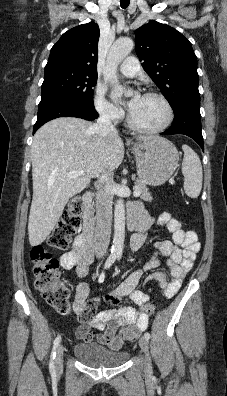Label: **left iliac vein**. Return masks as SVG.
Returning <instances> with one entry per match:
<instances>
[{"label": "left iliac vein", "instance_id": "left-iliac-vein-1", "mask_svg": "<svg viewBox=\"0 0 227 396\" xmlns=\"http://www.w3.org/2000/svg\"><path fill=\"white\" fill-rule=\"evenodd\" d=\"M139 345L146 356L145 370L149 371L151 369V363H150V358H149V353H148V349H149L148 339L145 337H141L139 340Z\"/></svg>", "mask_w": 227, "mask_h": 396}]
</instances>
